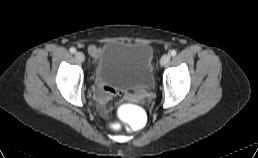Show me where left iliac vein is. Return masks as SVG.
Instances as JSON below:
<instances>
[{
  "mask_svg": "<svg viewBox=\"0 0 258 158\" xmlns=\"http://www.w3.org/2000/svg\"><path fill=\"white\" fill-rule=\"evenodd\" d=\"M169 61H170V55L169 54H164L161 57L160 64H161V66H165L169 63Z\"/></svg>",
  "mask_w": 258,
  "mask_h": 158,
  "instance_id": "1",
  "label": "left iliac vein"
}]
</instances>
